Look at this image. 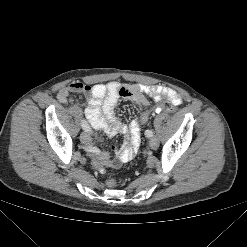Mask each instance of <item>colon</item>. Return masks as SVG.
I'll return each mask as SVG.
<instances>
[{"label":"colon","instance_id":"1","mask_svg":"<svg viewBox=\"0 0 247 247\" xmlns=\"http://www.w3.org/2000/svg\"><path fill=\"white\" fill-rule=\"evenodd\" d=\"M121 94L125 93V89L121 88L120 89ZM166 112V113H174L175 112V108L172 104L170 103H162L161 105L157 106L154 110H150L145 112L142 115V120L143 122H146L151 115L155 114V113H159V112ZM94 167L98 170L99 173L101 174H105L106 170H105V166L101 163V162H96L94 164ZM106 184L108 187H113L115 185V180L112 178L107 179Z\"/></svg>","mask_w":247,"mask_h":247}]
</instances>
